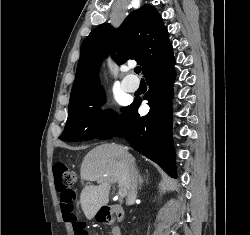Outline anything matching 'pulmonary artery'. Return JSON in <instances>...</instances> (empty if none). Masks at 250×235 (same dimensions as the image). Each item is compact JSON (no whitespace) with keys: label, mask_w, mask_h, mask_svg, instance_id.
<instances>
[{"label":"pulmonary artery","mask_w":250,"mask_h":235,"mask_svg":"<svg viewBox=\"0 0 250 235\" xmlns=\"http://www.w3.org/2000/svg\"><path fill=\"white\" fill-rule=\"evenodd\" d=\"M122 86L124 87V89L128 92H134L138 89L139 87V81L135 80V81H131L130 77H125L122 81Z\"/></svg>","instance_id":"1"}]
</instances>
